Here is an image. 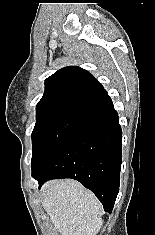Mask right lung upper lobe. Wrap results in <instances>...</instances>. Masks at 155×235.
Listing matches in <instances>:
<instances>
[{
  "label": "right lung upper lobe",
  "instance_id": "1",
  "mask_svg": "<svg viewBox=\"0 0 155 235\" xmlns=\"http://www.w3.org/2000/svg\"><path fill=\"white\" fill-rule=\"evenodd\" d=\"M96 84L100 83L85 69L62 68L45 80V93L37 104V113L61 112L95 122L99 118L88 99V91Z\"/></svg>",
  "mask_w": 155,
  "mask_h": 235
}]
</instances>
